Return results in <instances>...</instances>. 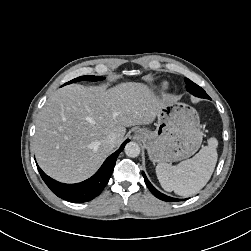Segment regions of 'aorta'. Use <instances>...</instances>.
<instances>
[{
    "label": "aorta",
    "instance_id": "obj_1",
    "mask_svg": "<svg viewBox=\"0 0 251 251\" xmlns=\"http://www.w3.org/2000/svg\"><path fill=\"white\" fill-rule=\"evenodd\" d=\"M124 151L128 157L135 158L140 154V147L136 142H129L126 144Z\"/></svg>",
    "mask_w": 251,
    "mask_h": 251
}]
</instances>
